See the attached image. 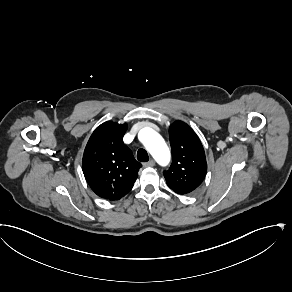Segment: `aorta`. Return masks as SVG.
Wrapping results in <instances>:
<instances>
[{
  "mask_svg": "<svg viewBox=\"0 0 292 292\" xmlns=\"http://www.w3.org/2000/svg\"><path fill=\"white\" fill-rule=\"evenodd\" d=\"M140 133L142 134L141 142L158 164L161 166L168 165L170 151L164 139L152 128H143Z\"/></svg>",
  "mask_w": 292,
  "mask_h": 292,
  "instance_id": "obj_1",
  "label": "aorta"
}]
</instances>
